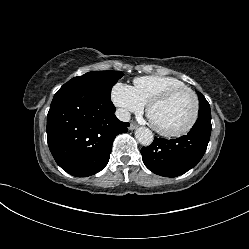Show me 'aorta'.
<instances>
[{"label":"aorta","instance_id":"1","mask_svg":"<svg viewBox=\"0 0 249 249\" xmlns=\"http://www.w3.org/2000/svg\"><path fill=\"white\" fill-rule=\"evenodd\" d=\"M135 137L144 146L151 145L154 139L152 131L146 127L138 128L135 132Z\"/></svg>","mask_w":249,"mask_h":249}]
</instances>
